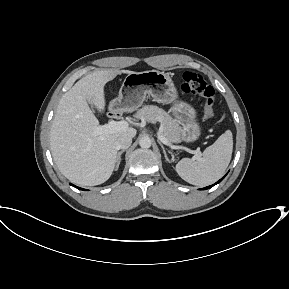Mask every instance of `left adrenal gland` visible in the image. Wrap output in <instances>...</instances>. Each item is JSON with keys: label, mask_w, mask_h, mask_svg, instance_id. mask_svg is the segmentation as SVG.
Listing matches in <instances>:
<instances>
[{"label": "left adrenal gland", "mask_w": 289, "mask_h": 289, "mask_svg": "<svg viewBox=\"0 0 289 289\" xmlns=\"http://www.w3.org/2000/svg\"><path fill=\"white\" fill-rule=\"evenodd\" d=\"M158 143L160 144V146H161V148H162V150H163V154H164V157H165V161L166 162H171L169 159H168V157H167V154H166V151H165V148H164V146H163V144L158 140Z\"/></svg>", "instance_id": "left-adrenal-gland-1"}]
</instances>
